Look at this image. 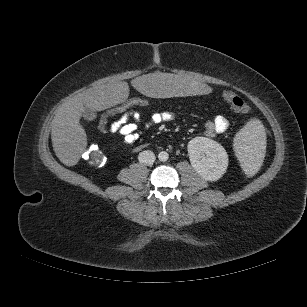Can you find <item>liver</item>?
Returning <instances> with one entry per match:
<instances>
[{"label": "liver", "mask_w": 307, "mask_h": 307, "mask_svg": "<svg viewBox=\"0 0 307 307\" xmlns=\"http://www.w3.org/2000/svg\"><path fill=\"white\" fill-rule=\"evenodd\" d=\"M136 91L149 98L187 97L193 94L211 96L215 94V83L199 81L191 77L156 72L135 77ZM129 94L127 82L107 84L90 88L65 102L52 120L51 140L58 159L66 166H74L87 146V136L80 124L83 111L90 108L102 111L125 101Z\"/></svg>", "instance_id": "obj_1"}]
</instances>
